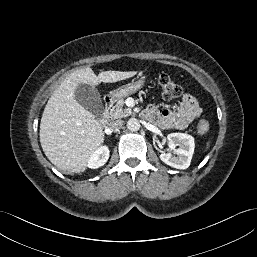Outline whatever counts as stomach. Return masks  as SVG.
I'll list each match as a JSON object with an SVG mask.
<instances>
[{"label":"stomach","instance_id":"1","mask_svg":"<svg viewBox=\"0 0 257 257\" xmlns=\"http://www.w3.org/2000/svg\"><path fill=\"white\" fill-rule=\"evenodd\" d=\"M145 82V76H142L126 85H123L110 92L109 96L111 100H118L122 97H126L137 92Z\"/></svg>","mask_w":257,"mask_h":257}]
</instances>
